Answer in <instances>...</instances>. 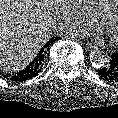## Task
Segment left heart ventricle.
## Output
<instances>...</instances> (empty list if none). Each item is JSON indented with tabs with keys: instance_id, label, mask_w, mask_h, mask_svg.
<instances>
[{
	"instance_id": "obj_1",
	"label": "left heart ventricle",
	"mask_w": 118,
	"mask_h": 118,
	"mask_svg": "<svg viewBox=\"0 0 118 118\" xmlns=\"http://www.w3.org/2000/svg\"><path fill=\"white\" fill-rule=\"evenodd\" d=\"M117 7H118V4L116 5V9H117V12H118V8ZM105 32L107 34H112L113 36H118V17L116 18L115 22L113 23L110 31H107L105 29Z\"/></svg>"
}]
</instances>
